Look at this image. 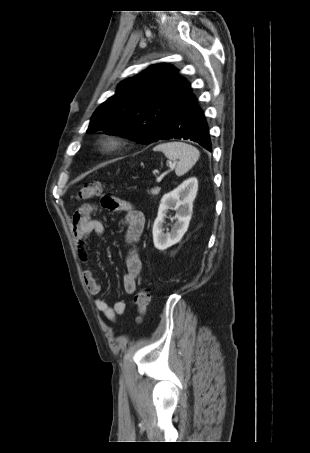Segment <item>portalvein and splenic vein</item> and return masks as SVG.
Listing matches in <instances>:
<instances>
[{"mask_svg":"<svg viewBox=\"0 0 310 453\" xmlns=\"http://www.w3.org/2000/svg\"><path fill=\"white\" fill-rule=\"evenodd\" d=\"M175 165L171 164L170 165V168H174ZM169 171H166V172H163L162 174H160L158 177H157V182H161L162 178L168 173Z\"/></svg>","mask_w":310,"mask_h":453,"instance_id":"obj_1","label":"portal vein and splenic vein"}]
</instances>
